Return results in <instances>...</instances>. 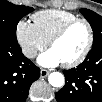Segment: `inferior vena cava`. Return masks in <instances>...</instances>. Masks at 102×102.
Masks as SVG:
<instances>
[{"mask_svg": "<svg viewBox=\"0 0 102 102\" xmlns=\"http://www.w3.org/2000/svg\"><path fill=\"white\" fill-rule=\"evenodd\" d=\"M22 52L27 58H34L37 56V50L32 47H24Z\"/></svg>", "mask_w": 102, "mask_h": 102, "instance_id": "inferior-vena-cava-1", "label": "inferior vena cava"}]
</instances>
